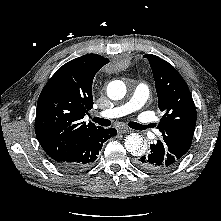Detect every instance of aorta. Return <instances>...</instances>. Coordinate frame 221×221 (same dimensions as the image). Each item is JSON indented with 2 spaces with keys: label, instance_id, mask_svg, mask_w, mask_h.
<instances>
[{
  "label": "aorta",
  "instance_id": "aorta-1",
  "mask_svg": "<svg viewBox=\"0 0 221 221\" xmlns=\"http://www.w3.org/2000/svg\"><path fill=\"white\" fill-rule=\"evenodd\" d=\"M126 95V85L120 80L111 81L107 86V96L111 100H121ZM124 146L133 156H142L147 149L143 137L138 133H132L125 138Z\"/></svg>",
  "mask_w": 221,
  "mask_h": 221
}]
</instances>
